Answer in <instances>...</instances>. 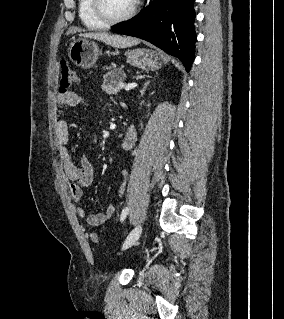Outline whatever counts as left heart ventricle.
<instances>
[{
  "label": "left heart ventricle",
  "mask_w": 284,
  "mask_h": 319,
  "mask_svg": "<svg viewBox=\"0 0 284 319\" xmlns=\"http://www.w3.org/2000/svg\"><path fill=\"white\" fill-rule=\"evenodd\" d=\"M133 0H104V7L111 17L125 14L131 7Z\"/></svg>",
  "instance_id": "1"
}]
</instances>
